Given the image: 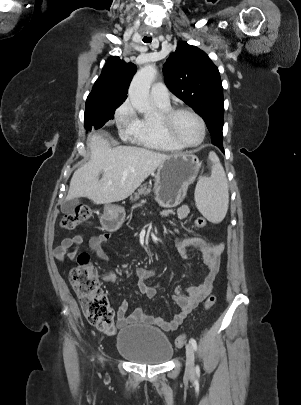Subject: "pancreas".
<instances>
[{
  "instance_id": "obj_1",
  "label": "pancreas",
  "mask_w": 301,
  "mask_h": 405,
  "mask_svg": "<svg viewBox=\"0 0 301 405\" xmlns=\"http://www.w3.org/2000/svg\"><path fill=\"white\" fill-rule=\"evenodd\" d=\"M150 192H151V188H150V187L147 188L146 185H142V186L138 189L137 193L134 194V198L137 199V198H138L139 196H141V195H148V194H150Z\"/></svg>"
}]
</instances>
